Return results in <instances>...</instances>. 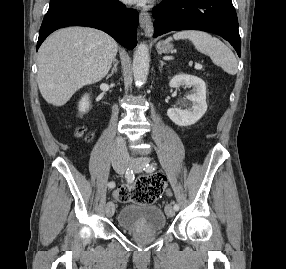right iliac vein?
<instances>
[{"mask_svg":"<svg viewBox=\"0 0 286 269\" xmlns=\"http://www.w3.org/2000/svg\"><path fill=\"white\" fill-rule=\"evenodd\" d=\"M125 169H126V168H125L124 166L119 167V168L117 169V172H118L119 174H123V173L125 172ZM105 212H106V215H107L108 217H112V216L114 215L115 206H114V204H113L112 202H108V203L106 204Z\"/></svg>","mask_w":286,"mask_h":269,"instance_id":"obj_1","label":"right iliac vein"}]
</instances>
